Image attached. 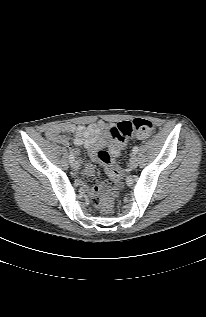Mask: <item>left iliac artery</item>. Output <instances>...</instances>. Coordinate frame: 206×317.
<instances>
[{"instance_id": "44dca946", "label": "left iliac artery", "mask_w": 206, "mask_h": 317, "mask_svg": "<svg viewBox=\"0 0 206 317\" xmlns=\"http://www.w3.org/2000/svg\"><path fill=\"white\" fill-rule=\"evenodd\" d=\"M132 151H133V154H136V153L138 152V147H137V146H134L133 149H132Z\"/></svg>"}]
</instances>
